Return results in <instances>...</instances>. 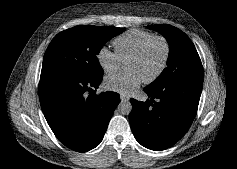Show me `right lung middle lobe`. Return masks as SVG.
<instances>
[{"instance_id":"1","label":"right lung middle lobe","mask_w":237,"mask_h":169,"mask_svg":"<svg viewBox=\"0 0 237 169\" xmlns=\"http://www.w3.org/2000/svg\"><path fill=\"white\" fill-rule=\"evenodd\" d=\"M123 31L125 28L79 25L58 33L45 52L42 72L103 76L97 55L108 40Z\"/></svg>"}]
</instances>
